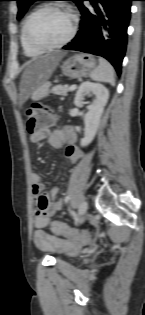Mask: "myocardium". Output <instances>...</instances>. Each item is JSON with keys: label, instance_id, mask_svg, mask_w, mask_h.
<instances>
[{"label": "myocardium", "instance_id": "1", "mask_svg": "<svg viewBox=\"0 0 145 315\" xmlns=\"http://www.w3.org/2000/svg\"><path fill=\"white\" fill-rule=\"evenodd\" d=\"M52 10L66 13L70 17V19H71L70 30H69L68 34L66 35V37L57 43H53V44L39 43L31 37V34H30L31 25L37 16H39L40 14H42L46 11H52ZM76 29H77V17L72 11H70L69 9L64 8V7H59L57 5L48 4V5H45L43 7H40L39 9L35 10L34 12H32L30 14V16L28 17V19L25 23L24 35H25V39H26L27 43L30 46H32L33 48H36V49H39L42 51H49V50L63 47L67 43H69L71 41V39L74 37V35L76 33Z\"/></svg>", "mask_w": 145, "mask_h": 315}]
</instances>
